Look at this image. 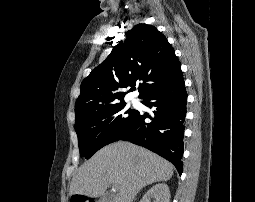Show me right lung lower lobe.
I'll use <instances>...</instances> for the list:
<instances>
[{
    "instance_id": "right-lung-lower-lobe-1",
    "label": "right lung lower lobe",
    "mask_w": 255,
    "mask_h": 202,
    "mask_svg": "<svg viewBox=\"0 0 255 202\" xmlns=\"http://www.w3.org/2000/svg\"><path fill=\"white\" fill-rule=\"evenodd\" d=\"M142 103L154 108L152 122L138 113L129 130L119 139L143 146L170 161L182 173L183 135L187 93L182 78L175 84L150 93Z\"/></svg>"
}]
</instances>
